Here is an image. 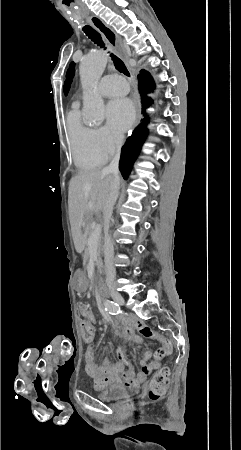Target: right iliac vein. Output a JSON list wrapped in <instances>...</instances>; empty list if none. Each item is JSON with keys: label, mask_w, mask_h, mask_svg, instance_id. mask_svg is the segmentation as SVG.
Returning <instances> with one entry per match:
<instances>
[{"label": "right iliac vein", "mask_w": 241, "mask_h": 450, "mask_svg": "<svg viewBox=\"0 0 241 450\" xmlns=\"http://www.w3.org/2000/svg\"><path fill=\"white\" fill-rule=\"evenodd\" d=\"M111 297L114 299V301L120 305H123L125 303V300L118 292H112Z\"/></svg>", "instance_id": "1"}]
</instances>
